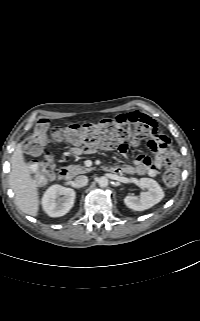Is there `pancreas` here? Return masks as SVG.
I'll use <instances>...</instances> for the list:
<instances>
[{"label": "pancreas", "mask_w": 200, "mask_h": 321, "mask_svg": "<svg viewBox=\"0 0 200 321\" xmlns=\"http://www.w3.org/2000/svg\"><path fill=\"white\" fill-rule=\"evenodd\" d=\"M68 169L73 175L84 174L92 170V168H87L82 165H70Z\"/></svg>", "instance_id": "cf45deb5"}]
</instances>
